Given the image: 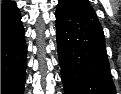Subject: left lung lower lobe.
Segmentation results:
<instances>
[{
    "mask_svg": "<svg viewBox=\"0 0 121 94\" xmlns=\"http://www.w3.org/2000/svg\"><path fill=\"white\" fill-rule=\"evenodd\" d=\"M56 35L65 94H116L103 29L58 3Z\"/></svg>",
    "mask_w": 121,
    "mask_h": 94,
    "instance_id": "left-lung-lower-lobe-1",
    "label": "left lung lower lobe"
}]
</instances>
